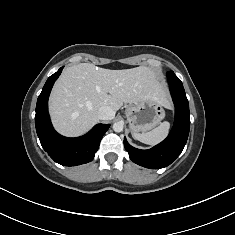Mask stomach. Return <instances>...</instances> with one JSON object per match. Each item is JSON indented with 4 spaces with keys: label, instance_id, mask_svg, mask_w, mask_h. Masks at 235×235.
<instances>
[{
    "label": "stomach",
    "instance_id": "1",
    "mask_svg": "<svg viewBox=\"0 0 235 235\" xmlns=\"http://www.w3.org/2000/svg\"><path fill=\"white\" fill-rule=\"evenodd\" d=\"M125 114L133 134L145 133L157 126L165 117L163 105L152 98L130 103Z\"/></svg>",
    "mask_w": 235,
    "mask_h": 235
}]
</instances>
